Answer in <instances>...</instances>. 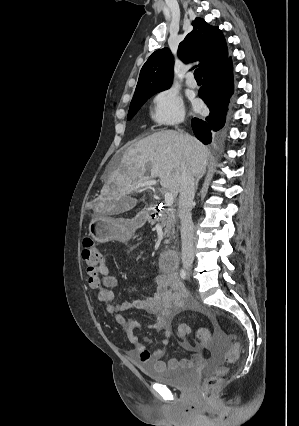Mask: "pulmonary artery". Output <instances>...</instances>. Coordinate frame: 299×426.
Wrapping results in <instances>:
<instances>
[{
    "instance_id": "pulmonary-artery-1",
    "label": "pulmonary artery",
    "mask_w": 299,
    "mask_h": 426,
    "mask_svg": "<svg viewBox=\"0 0 299 426\" xmlns=\"http://www.w3.org/2000/svg\"><path fill=\"white\" fill-rule=\"evenodd\" d=\"M186 83L191 88H195L197 86V83H196L193 75H191V74L188 76Z\"/></svg>"
}]
</instances>
